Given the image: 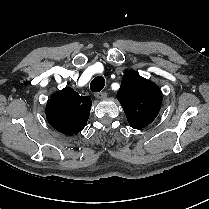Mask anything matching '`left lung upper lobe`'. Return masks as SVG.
I'll return each mask as SVG.
<instances>
[{
  "instance_id": "obj_1",
  "label": "left lung upper lobe",
  "mask_w": 209,
  "mask_h": 209,
  "mask_svg": "<svg viewBox=\"0 0 209 209\" xmlns=\"http://www.w3.org/2000/svg\"><path fill=\"white\" fill-rule=\"evenodd\" d=\"M117 99L134 129L149 125L158 115L162 93L157 85L134 72L123 75Z\"/></svg>"
}]
</instances>
